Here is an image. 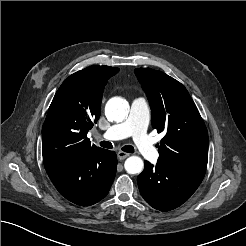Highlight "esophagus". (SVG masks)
<instances>
[{"mask_svg": "<svg viewBox=\"0 0 246 246\" xmlns=\"http://www.w3.org/2000/svg\"><path fill=\"white\" fill-rule=\"evenodd\" d=\"M129 155H130L129 153H126L123 151L117 152V157L119 160H123V159L127 158Z\"/></svg>", "mask_w": 246, "mask_h": 246, "instance_id": "34e87169", "label": "esophagus"}]
</instances>
